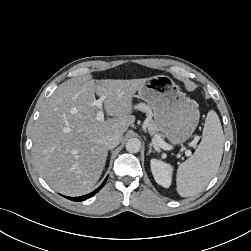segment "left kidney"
I'll list each match as a JSON object with an SVG mask.
<instances>
[{
	"label": "left kidney",
	"instance_id": "obj_1",
	"mask_svg": "<svg viewBox=\"0 0 251 251\" xmlns=\"http://www.w3.org/2000/svg\"><path fill=\"white\" fill-rule=\"evenodd\" d=\"M150 167L155 181L168 188L171 185L172 166L157 159H151Z\"/></svg>",
	"mask_w": 251,
	"mask_h": 251
}]
</instances>
